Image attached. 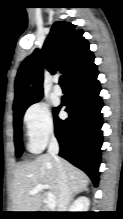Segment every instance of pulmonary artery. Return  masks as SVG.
Segmentation results:
<instances>
[{"label":"pulmonary artery","mask_w":123,"mask_h":219,"mask_svg":"<svg viewBox=\"0 0 123 219\" xmlns=\"http://www.w3.org/2000/svg\"><path fill=\"white\" fill-rule=\"evenodd\" d=\"M53 91H54V93L56 94V95H61L62 94V88L58 85V84H56L54 87H53Z\"/></svg>","instance_id":"obj_1"}]
</instances>
